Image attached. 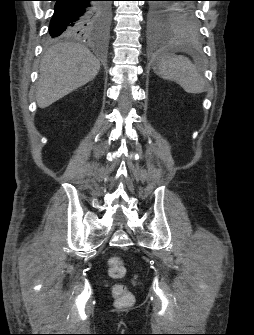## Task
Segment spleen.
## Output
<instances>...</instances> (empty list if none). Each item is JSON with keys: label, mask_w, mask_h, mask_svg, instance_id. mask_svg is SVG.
<instances>
[{"label": "spleen", "mask_w": 254, "mask_h": 335, "mask_svg": "<svg viewBox=\"0 0 254 335\" xmlns=\"http://www.w3.org/2000/svg\"><path fill=\"white\" fill-rule=\"evenodd\" d=\"M174 52L173 43H169L159 51L154 67L155 73L163 79L176 82L187 93H202L205 88L202 74L187 57L175 55Z\"/></svg>", "instance_id": "3e777b00"}]
</instances>
